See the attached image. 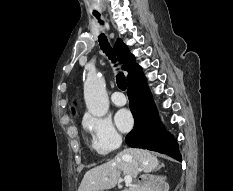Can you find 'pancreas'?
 I'll use <instances>...</instances> for the list:
<instances>
[{"mask_svg":"<svg viewBox=\"0 0 233 191\" xmlns=\"http://www.w3.org/2000/svg\"><path fill=\"white\" fill-rule=\"evenodd\" d=\"M125 191H138L136 188H129L128 190H125Z\"/></svg>","mask_w":233,"mask_h":191,"instance_id":"obj_1","label":"pancreas"}]
</instances>
